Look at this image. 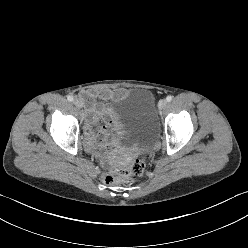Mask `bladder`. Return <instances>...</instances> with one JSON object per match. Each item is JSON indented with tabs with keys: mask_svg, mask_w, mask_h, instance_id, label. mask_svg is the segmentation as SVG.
<instances>
[{
	"mask_svg": "<svg viewBox=\"0 0 248 248\" xmlns=\"http://www.w3.org/2000/svg\"><path fill=\"white\" fill-rule=\"evenodd\" d=\"M119 122V138L139 150L153 148L158 129L153 117V96L144 88L135 89L111 105Z\"/></svg>",
	"mask_w": 248,
	"mask_h": 248,
	"instance_id": "1",
	"label": "bladder"
}]
</instances>
